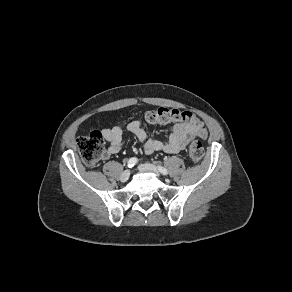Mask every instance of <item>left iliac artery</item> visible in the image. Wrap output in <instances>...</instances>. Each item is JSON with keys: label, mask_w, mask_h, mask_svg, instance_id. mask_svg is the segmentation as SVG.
<instances>
[{"label": "left iliac artery", "mask_w": 292, "mask_h": 292, "mask_svg": "<svg viewBox=\"0 0 292 292\" xmlns=\"http://www.w3.org/2000/svg\"><path fill=\"white\" fill-rule=\"evenodd\" d=\"M158 170L163 174V175H167L168 174V170L162 166H158Z\"/></svg>", "instance_id": "left-iliac-artery-1"}]
</instances>
